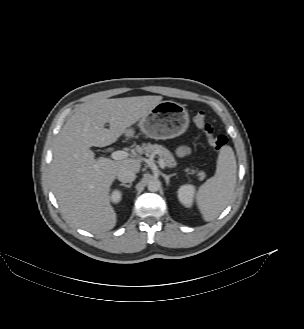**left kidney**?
I'll use <instances>...</instances> for the list:
<instances>
[{
  "instance_id": "1",
  "label": "left kidney",
  "mask_w": 304,
  "mask_h": 329,
  "mask_svg": "<svg viewBox=\"0 0 304 329\" xmlns=\"http://www.w3.org/2000/svg\"><path fill=\"white\" fill-rule=\"evenodd\" d=\"M177 193L181 204H183L185 207H191L195 193V186L191 184L182 185L178 189Z\"/></svg>"
}]
</instances>
